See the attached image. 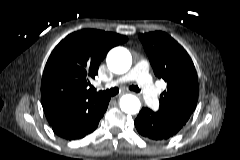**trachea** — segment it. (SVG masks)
Here are the masks:
<instances>
[{
	"label": "trachea",
	"instance_id": "trachea-1",
	"mask_svg": "<svg viewBox=\"0 0 240 160\" xmlns=\"http://www.w3.org/2000/svg\"><path fill=\"white\" fill-rule=\"evenodd\" d=\"M129 89H130L131 91H134V92H140V89H139L138 86L132 85V86L129 87ZM100 93H101L103 96H109V97L115 96V95H117V94L119 93V88L114 87V88H111V89H107V90H105V91H100Z\"/></svg>",
	"mask_w": 240,
	"mask_h": 160
}]
</instances>
